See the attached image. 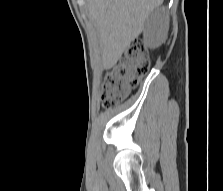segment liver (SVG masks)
<instances>
[{"instance_id": "liver-1", "label": "liver", "mask_w": 223, "mask_h": 191, "mask_svg": "<svg viewBox=\"0 0 223 191\" xmlns=\"http://www.w3.org/2000/svg\"><path fill=\"white\" fill-rule=\"evenodd\" d=\"M164 0H87L100 38L103 67H113Z\"/></svg>"}]
</instances>
